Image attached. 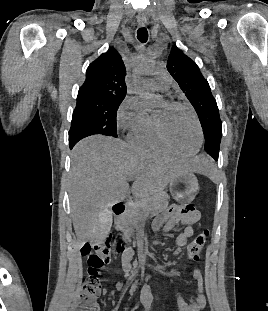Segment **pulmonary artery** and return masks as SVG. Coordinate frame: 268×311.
<instances>
[{
	"label": "pulmonary artery",
	"mask_w": 268,
	"mask_h": 311,
	"mask_svg": "<svg viewBox=\"0 0 268 311\" xmlns=\"http://www.w3.org/2000/svg\"><path fill=\"white\" fill-rule=\"evenodd\" d=\"M151 83L155 90L167 91L170 85V79L166 73L157 72Z\"/></svg>",
	"instance_id": "pulmonary-artery-1"
}]
</instances>
